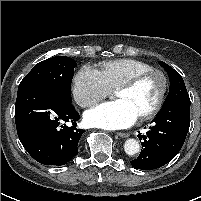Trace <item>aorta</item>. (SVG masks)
I'll use <instances>...</instances> for the list:
<instances>
[{"instance_id": "762f6f07", "label": "aorta", "mask_w": 201, "mask_h": 201, "mask_svg": "<svg viewBox=\"0 0 201 201\" xmlns=\"http://www.w3.org/2000/svg\"><path fill=\"white\" fill-rule=\"evenodd\" d=\"M140 145L136 139L130 138L127 139L124 143V151L128 155H135L139 152Z\"/></svg>"}]
</instances>
